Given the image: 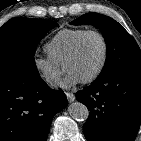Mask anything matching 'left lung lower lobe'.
<instances>
[{"label":"left lung lower lobe","instance_id":"left-lung-lower-lobe-1","mask_svg":"<svg viewBox=\"0 0 141 141\" xmlns=\"http://www.w3.org/2000/svg\"><path fill=\"white\" fill-rule=\"evenodd\" d=\"M76 98L90 110L83 126L88 141H134L141 123L140 69L98 78Z\"/></svg>","mask_w":141,"mask_h":141}]
</instances>
